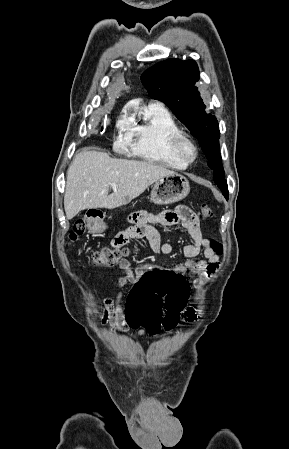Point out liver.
Wrapping results in <instances>:
<instances>
[{"mask_svg": "<svg viewBox=\"0 0 289 449\" xmlns=\"http://www.w3.org/2000/svg\"><path fill=\"white\" fill-rule=\"evenodd\" d=\"M175 174L152 162L116 159L104 152L84 150L75 155L67 171L66 217L70 220L85 209L121 207L154 182ZM111 183H116V190ZM110 187L113 193L108 195Z\"/></svg>", "mask_w": 289, "mask_h": 449, "instance_id": "liver-1", "label": "liver"}]
</instances>
